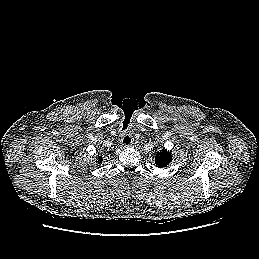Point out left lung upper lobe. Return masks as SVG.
I'll list each match as a JSON object with an SVG mask.
<instances>
[{
	"instance_id": "left-lung-upper-lobe-1",
	"label": "left lung upper lobe",
	"mask_w": 259,
	"mask_h": 259,
	"mask_svg": "<svg viewBox=\"0 0 259 259\" xmlns=\"http://www.w3.org/2000/svg\"><path fill=\"white\" fill-rule=\"evenodd\" d=\"M172 161L171 152L166 149H162L157 152L155 157V163L158 167H166Z\"/></svg>"
}]
</instances>
